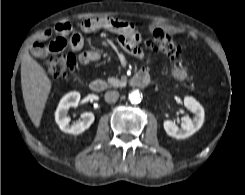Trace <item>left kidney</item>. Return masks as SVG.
Wrapping results in <instances>:
<instances>
[{
	"mask_svg": "<svg viewBox=\"0 0 245 195\" xmlns=\"http://www.w3.org/2000/svg\"><path fill=\"white\" fill-rule=\"evenodd\" d=\"M184 106L195 114L193 119L188 116L182 117L181 127H178L171 120H164L163 122L166 133L176 139H185L193 135L201 128L204 122V109L198 101L192 97H185Z\"/></svg>",
	"mask_w": 245,
	"mask_h": 195,
	"instance_id": "left-kidney-1",
	"label": "left kidney"
}]
</instances>
